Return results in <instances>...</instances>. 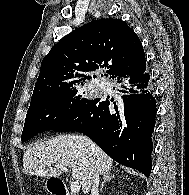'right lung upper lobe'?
<instances>
[{
	"mask_svg": "<svg viewBox=\"0 0 189 195\" xmlns=\"http://www.w3.org/2000/svg\"><path fill=\"white\" fill-rule=\"evenodd\" d=\"M145 66L142 43L126 22L95 20L66 35L44 57L31 102L76 86L87 78L84 72L105 67L115 77L121 69L138 71Z\"/></svg>",
	"mask_w": 189,
	"mask_h": 195,
	"instance_id": "obj_1",
	"label": "right lung upper lobe"
}]
</instances>
